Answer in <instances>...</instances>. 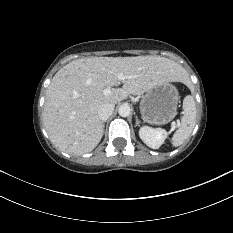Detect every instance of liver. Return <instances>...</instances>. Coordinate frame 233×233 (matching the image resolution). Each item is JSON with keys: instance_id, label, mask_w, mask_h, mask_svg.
<instances>
[{"instance_id": "obj_1", "label": "liver", "mask_w": 233, "mask_h": 233, "mask_svg": "<svg viewBox=\"0 0 233 233\" xmlns=\"http://www.w3.org/2000/svg\"><path fill=\"white\" fill-rule=\"evenodd\" d=\"M127 76L122 88L117 75ZM186 71L160 56L90 57L74 60L61 68L47 88L43 122L52 144L68 154L91 152L103 136L98 109L129 95H141L156 85L181 82Z\"/></svg>"}]
</instances>
